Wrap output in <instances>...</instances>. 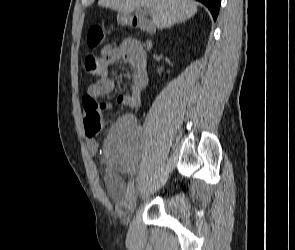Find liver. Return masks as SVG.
<instances>
[{
	"mask_svg": "<svg viewBox=\"0 0 295 250\" xmlns=\"http://www.w3.org/2000/svg\"><path fill=\"white\" fill-rule=\"evenodd\" d=\"M98 5L120 13L151 7L152 23L159 29L184 22L197 13V4L192 0H99Z\"/></svg>",
	"mask_w": 295,
	"mask_h": 250,
	"instance_id": "6515ba94",
	"label": "liver"
}]
</instances>
